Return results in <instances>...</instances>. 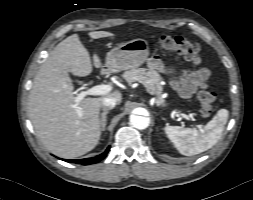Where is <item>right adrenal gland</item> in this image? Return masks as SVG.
Segmentation results:
<instances>
[{
  "mask_svg": "<svg viewBox=\"0 0 253 200\" xmlns=\"http://www.w3.org/2000/svg\"><path fill=\"white\" fill-rule=\"evenodd\" d=\"M109 113L108 110L104 111L102 114H101V118H100V126H101V131H104L105 130V127H106V120H107V114Z\"/></svg>",
  "mask_w": 253,
  "mask_h": 200,
  "instance_id": "1",
  "label": "right adrenal gland"
}]
</instances>
